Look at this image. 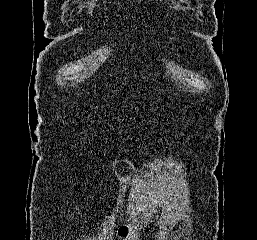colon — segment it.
<instances>
[{"instance_id":"colon-1","label":"colon","mask_w":257,"mask_h":240,"mask_svg":"<svg viewBox=\"0 0 257 240\" xmlns=\"http://www.w3.org/2000/svg\"><path fill=\"white\" fill-rule=\"evenodd\" d=\"M140 212L133 216L131 219H129L126 223H124L120 228L118 229V239L119 240H130L131 236L135 232L139 220L141 216L144 214V211L146 208H141Z\"/></svg>"}]
</instances>
